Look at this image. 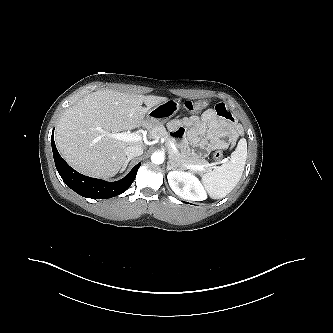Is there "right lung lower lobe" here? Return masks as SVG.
I'll return each instance as SVG.
<instances>
[{"label": "right lung lower lobe", "instance_id": "obj_1", "mask_svg": "<svg viewBox=\"0 0 333 333\" xmlns=\"http://www.w3.org/2000/svg\"><path fill=\"white\" fill-rule=\"evenodd\" d=\"M55 165L63 181L79 195L91 199H105L125 192L133 183L141 165L138 163L123 179L116 182L87 177L71 168L59 155L54 142V130L51 137Z\"/></svg>", "mask_w": 333, "mask_h": 333}]
</instances>
